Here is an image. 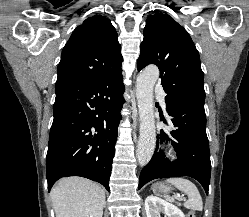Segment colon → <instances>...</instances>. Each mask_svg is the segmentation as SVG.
Segmentation results:
<instances>
[{
    "label": "colon",
    "instance_id": "obj_1",
    "mask_svg": "<svg viewBox=\"0 0 249 217\" xmlns=\"http://www.w3.org/2000/svg\"><path fill=\"white\" fill-rule=\"evenodd\" d=\"M187 217H196L194 212L190 211L188 214H187Z\"/></svg>",
    "mask_w": 249,
    "mask_h": 217
}]
</instances>
